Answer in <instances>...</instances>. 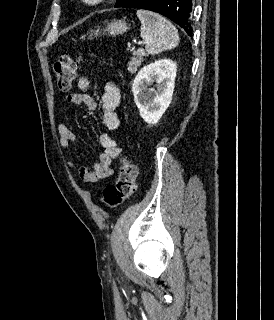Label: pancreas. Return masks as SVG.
Instances as JSON below:
<instances>
[{
	"mask_svg": "<svg viewBox=\"0 0 274 320\" xmlns=\"http://www.w3.org/2000/svg\"><path fill=\"white\" fill-rule=\"evenodd\" d=\"M132 54L133 56L130 58L127 68L129 74H135V72H137L138 66H141L144 56H146V52H144V50H135Z\"/></svg>",
	"mask_w": 274,
	"mask_h": 320,
	"instance_id": "1",
	"label": "pancreas"
}]
</instances>
